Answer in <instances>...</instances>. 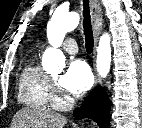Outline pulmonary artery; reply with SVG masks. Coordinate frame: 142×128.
<instances>
[{
	"mask_svg": "<svg viewBox=\"0 0 142 128\" xmlns=\"http://www.w3.org/2000/svg\"><path fill=\"white\" fill-rule=\"evenodd\" d=\"M62 48L69 54H76L78 52L77 42L73 38L66 39Z\"/></svg>",
	"mask_w": 142,
	"mask_h": 128,
	"instance_id": "obj_1",
	"label": "pulmonary artery"
}]
</instances>
